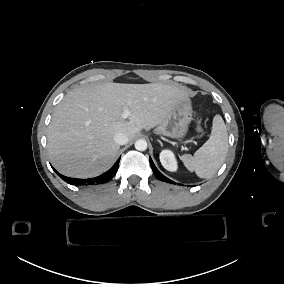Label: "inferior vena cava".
I'll return each instance as SVG.
<instances>
[{
  "label": "inferior vena cava",
  "mask_w": 284,
  "mask_h": 284,
  "mask_svg": "<svg viewBox=\"0 0 284 284\" xmlns=\"http://www.w3.org/2000/svg\"><path fill=\"white\" fill-rule=\"evenodd\" d=\"M114 141L119 145H125L128 143V137L124 133H117L114 135Z\"/></svg>",
  "instance_id": "obj_1"
}]
</instances>
